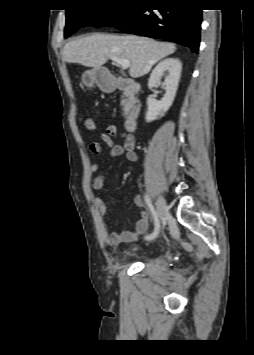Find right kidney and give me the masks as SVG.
Returning a JSON list of instances; mask_svg holds the SVG:
<instances>
[{
    "label": "right kidney",
    "instance_id": "ca27d5eb",
    "mask_svg": "<svg viewBox=\"0 0 254 355\" xmlns=\"http://www.w3.org/2000/svg\"><path fill=\"white\" fill-rule=\"evenodd\" d=\"M181 70L182 64L178 58L164 59L153 69L148 81L149 89L157 86L160 83L161 77L166 74L164 81L166 93L160 101L152 97L147 98V112L145 116L147 122L164 116L172 105L178 88Z\"/></svg>",
    "mask_w": 254,
    "mask_h": 355
}]
</instances>
